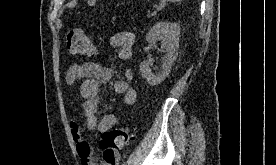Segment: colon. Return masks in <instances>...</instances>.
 Returning a JSON list of instances; mask_svg holds the SVG:
<instances>
[{"label": "colon", "mask_w": 276, "mask_h": 165, "mask_svg": "<svg viewBox=\"0 0 276 165\" xmlns=\"http://www.w3.org/2000/svg\"><path fill=\"white\" fill-rule=\"evenodd\" d=\"M68 50L76 55H92L95 47L88 35L79 28H71L66 33ZM131 139L128 127H121L104 132L100 138V148L112 157L114 153L123 149Z\"/></svg>", "instance_id": "obj_1"}]
</instances>
